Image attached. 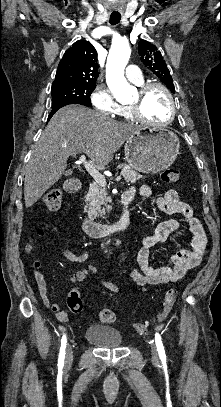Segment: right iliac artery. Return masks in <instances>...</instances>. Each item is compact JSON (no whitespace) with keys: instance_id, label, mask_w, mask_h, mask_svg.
Wrapping results in <instances>:
<instances>
[{"instance_id":"82829eb1","label":"right iliac artery","mask_w":221,"mask_h":407,"mask_svg":"<svg viewBox=\"0 0 221 407\" xmlns=\"http://www.w3.org/2000/svg\"><path fill=\"white\" fill-rule=\"evenodd\" d=\"M66 343H67V338H66L65 335H63V337H62V339H61V347H60L59 359H58V366H59V367H63V366H64Z\"/></svg>"}]
</instances>
